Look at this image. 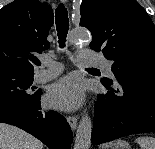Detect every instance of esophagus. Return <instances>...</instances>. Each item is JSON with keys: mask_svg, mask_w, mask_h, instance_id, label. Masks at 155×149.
<instances>
[{"mask_svg": "<svg viewBox=\"0 0 155 149\" xmlns=\"http://www.w3.org/2000/svg\"><path fill=\"white\" fill-rule=\"evenodd\" d=\"M63 3H65L67 0H61ZM67 121L71 127L72 130H75L77 127V117L76 116H68Z\"/></svg>", "mask_w": 155, "mask_h": 149, "instance_id": "obj_1", "label": "esophagus"}]
</instances>
